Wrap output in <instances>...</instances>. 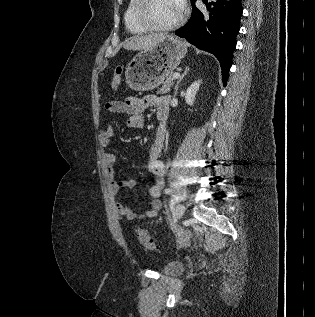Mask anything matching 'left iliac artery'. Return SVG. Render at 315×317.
Segmentation results:
<instances>
[{"instance_id":"left-iliac-artery-1","label":"left iliac artery","mask_w":315,"mask_h":317,"mask_svg":"<svg viewBox=\"0 0 315 317\" xmlns=\"http://www.w3.org/2000/svg\"><path fill=\"white\" fill-rule=\"evenodd\" d=\"M165 193H166V194H170V193H171V189H169V188L166 189V190H165ZM171 202H172L171 205H173V200H171Z\"/></svg>"}]
</instances>
